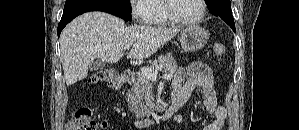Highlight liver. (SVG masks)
<instances>
[{
  "mask_svg": "<svg viewBox=\"0 0 299 130\" xmlns=\"http://www.w3.org/2000/svg\"><path fill=\"white\" fill-rule=\"evenodd\" d=\"M179 32L180 28L126 26L123 20L104 12L82 14L64 28L60 37L66 84L70 86L86 78L96 58L115 63L122 57V48L130 45L127 58L145 59Z\"/></svg>",
  "mask_w": 299,
  "mask_h": 130,
  "instance_id": "6515ba94",
  "label": "liver"
}]
</instances>
